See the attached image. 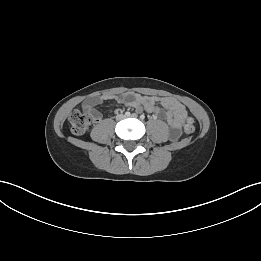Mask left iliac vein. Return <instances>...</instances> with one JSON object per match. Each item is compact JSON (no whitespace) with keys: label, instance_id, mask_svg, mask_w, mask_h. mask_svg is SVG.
<instances>
[{"label":"left iliac vein","instance_id":"4c4485c4","mask_svg":"<svg viewBox=\"0 0 261 261\" xmlns=\"http://www.w3.org/2000/svg\"><path fill=\"white\" fill-rule=\"evenodd\" d=\"M130 117L137 118V115L136 114H132Z\"/></svg>","mask_w":261,"mask_h":261}]
</instances>
